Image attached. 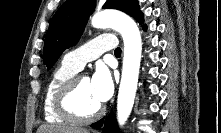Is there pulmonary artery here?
Listing matches in <instances>:
<instances>
[{"instance_id": "1", "label": "pulmonary artery", "mask_w": 221, "mask_h": 133, "mask_svg": "<svg viewBox=\"0 0 221 133\" xmlns=\"http://www.w3.org/2000/svg\"><path fill=\"white\" fill-rule=\"evenodd\" d=\"M117 48V41L111 34L105 33L90 40L81 47L67 53L63 61L77 69L81 70L85 64L98 58L102 53Z\"/></svg>"}]
</instances>
